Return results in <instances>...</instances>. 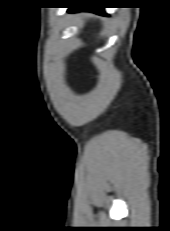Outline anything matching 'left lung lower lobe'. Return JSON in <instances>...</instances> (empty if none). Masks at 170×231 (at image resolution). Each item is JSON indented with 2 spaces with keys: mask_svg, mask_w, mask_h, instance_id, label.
Segmentation results:
<instances>
[{
  "mask_svg": "<svg viewBox=\"0 0 170 231\" xmlns=\"http://www.w3.org/2000/svg\"><path fill=\"white\" fill-rule=\"evenodd\" d=\"M89 11L101 15H106L103 7H71L68 12Z\"/></svg>",
  "mask_w": 170,
  "mask_h": 231,
  "instance_id": "1",
  "label": "left lung lower lobe"
}]
</instances>
